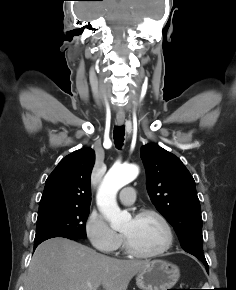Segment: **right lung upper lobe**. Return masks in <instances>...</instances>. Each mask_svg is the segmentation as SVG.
<instances>
[{
	"mask_svg": "<svg viewBox=\"0 0 236 290\" xmlns=\"http://www.w3.org/2000/svg\"><path fill=\"white\" fill-rule=\"evenodd\" d=\"M95 161L91 148H82L64 157L46 180L39 209L52 206H90V175Z\"/></svg>",
	"mask_w": 236,
	"mask_h": 290,
	"instance_id": "cb5924a9",
	"label": "right lung upper lobe"
}]
</instances>
